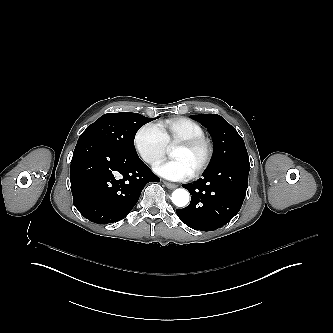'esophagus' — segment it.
Wrapping results in <instances>:
<instances>
[{
    "label": "esophagus",
    "mask_w": 333,
    "mask_h": 333,
    "mask_svg": "<svg viewBox=\"0 0 333 333\" xmlns=\"http://www.w3.org/2000/svg\"><path fill=\"white\" fill-rule=\"evenodd\" d=\"M163 183L166 185V187L170 190H174L175 188L178 187L177 184H174V183H170V182H167V181H163Z\"/></svg>",
    "instance_id": "1"
}]
</instances>
